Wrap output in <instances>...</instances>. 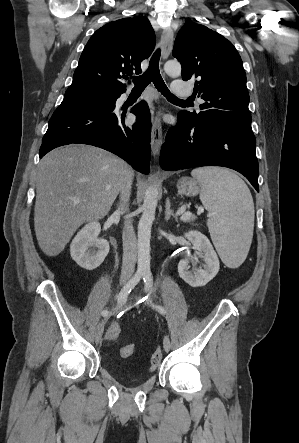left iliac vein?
Returning <instances> with one entry per match:
<instances>
[{
  "instance_id": "obj_1",
  "label": "left iliac vein",
  "mask_w": 299,
  "mask_h": 443,
  "mask_svg": "<svg viewBox=\"0 0 299 443\" xmlns=\"http://www.w3.org/2000/svg\"><path fill=\"white\" fill-rule=\"evenodd\" d=\"M163 347H164V350L166 352L170 350L171 342H170L169 336H165L164 337V339H163Z\"/></svg>"
}]
</instances>
